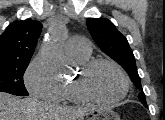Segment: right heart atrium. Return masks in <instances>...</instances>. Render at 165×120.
I'll use <instances>...</instances> for the list:
<instances>
[{"instance_id": "1", "label": "right heart atrium", "mask_w": 165, "mask_h": 120, "mask_svg": "<svg viewBox=\"0 0 165 120\" xmlns=\"http://www.w3.org/2000/svg\"><path fill=\"white\" fill-rule=\"evenodd\" d=\"M24 80L33 96L50 101L59 100L61 84L52 76L41 56H36L30 62Z\"/></svg>"}]
</instances>
